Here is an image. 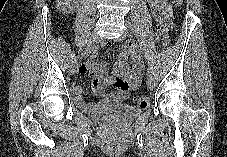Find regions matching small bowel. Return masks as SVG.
<instances>
[{"instance_id": "1", "label": "small bowel", "mask_w": 227, "mask_h": 157, "mask_svg": "<svg viewBox=\"0 0 227 157\" xmlns=\"http://www.w3.org/2000/svg\"><path fill=\"white\" fill-rule=\"evenodd\" d=\"M153 16L168 24L172 14V5L169 0H147ZM128 57L132 60V67L128 65ZM144 70L140 51L134 42H129L120 52L114 66L113 74L108 75V64L89 60L78 67L81 74L87 73L91 77V88L93 93L100 98L98 102H86L82 96V88L79 85L72 87L75 95V103L79 109L85 112L97 111L109 104L119 103L127 99L130 92L136 89ZM112 86L115 91L107 94L105 87Z\"/></svg>"}]
</instances>
